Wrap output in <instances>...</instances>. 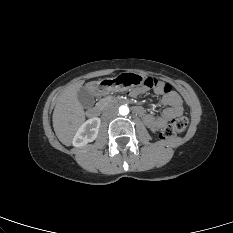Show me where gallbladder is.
<instances>
[{
	"label": "gallbladder",
	"mask_w": 233,
	"mask_h": 233,
	"mask_svg": "<svg viewBox=\"0 0 233 233\" xmlns=\"http://www.w3.org/2000/svg\"><path fill=\"white\" fill-rule=\"evenodd\" d=\"M77 98L82 107L88 109L94 105V94L88 89L87 86H82L77 92Z\"/></svg>",
	"instance_id": "obj_1"
}]
</instances>
